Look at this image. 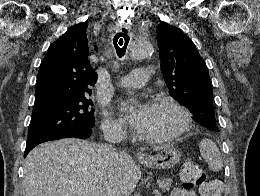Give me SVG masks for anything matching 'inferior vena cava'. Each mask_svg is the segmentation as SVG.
<instances>
[{
	"label": "inferior vena cava",
	"mask_w": 260,
	"mask_h": 196,
	"mask_svg": "<svg viewBox=\"0 0 260 196\" xmlns=\"http://www.w3.org/2000/svg\"><path fill=\"white\" fill-rule=\"evenodd\" d=\"M103 136L104 140L108 142V144H105L104 146L107 152V160H109V162H114L113 158L117 156L118 152L112 144H119V142H122L123 134L121 130H109V132H104ZM107 196H121V192L118 190L117 186H115L114 180H110Z\"/></svg>",
	"instance_id": "1"
}]
</instances>
